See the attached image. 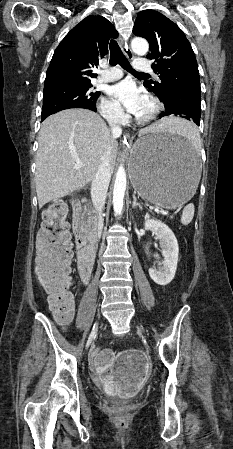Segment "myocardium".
Masks as SVG:
<instances>
[{
	"label": "myocardium",
	"mask_w": 233,
	"mask_h": 449,
	"mask_svg": "<svg viewBox=\"0 0 233 449\" xmlns=\"http://www.w3.org/2000/svg\"><path fill=\"white\" fill-rule=\"evenodd\" d=\"M147 100L149 101V103L151 105V110L145 116H138V115L136 116L135 119H136L137 123H139V124H147V123L153 121L162 109V105L156 97L149 95V96H147Z\"/></svg>",
	"instance_id": "f54148a6"
}]
</instances>
